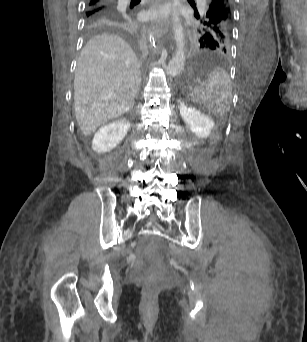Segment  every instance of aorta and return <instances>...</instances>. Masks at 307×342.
Returning <instances> with one entry per match:
<instances>
[{
    "label": "aorta",
    "mask_w": 307,
    "mask_h": 342,
    "mask_svg": "<svg viewBox=\"0 0 307 342\" xmlns=\"http://www.w3.org/2000/svg\"><path fill=\"white\" fill-rule=\"evenodd\" d=\"M181 2L180 0H173V24H174V40L176 42V54L172 60H170L167 68V74H170V76H176V74H179L181 72L184 62H185V42H184V34H183V28L182 24L180 22L179 14H178V8L177 6H180Z\"/></svg>",
    "instance_id": "1"
}]
</instances>
